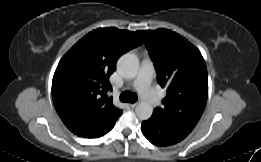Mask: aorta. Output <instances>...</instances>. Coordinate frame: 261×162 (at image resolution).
<instances>
[{
	"instance_id": "1",
	"label": "aorta",
	"mask_w": 261,
	"mask_h": 162,
	"mask_svg": "<svg viewBox=\"0 0 261 162\" xmlns=\"http://www.w3.org/2000/svg\"><path fill=\"white\" fill-rule=\"evenodd\" d=\"M118 68L122 76L133 79L139 71V60L136 55L126 53L119 58ZM135 113L140 120H148L152 116L153 107L147 102H140L135 108Z\"/></svg>"
}]
</instances>
